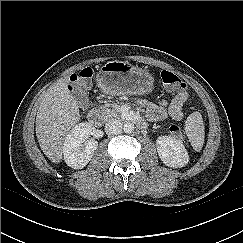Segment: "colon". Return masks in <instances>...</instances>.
<instances>
[{
  "mask_svg": "<svg viewBox=\"0 0 243 243\" xmlns=\"http://www.w3.org/2000/svg\"><path fill=\"white\" fill-rule=\"evenodd\" d=\"M92 76H93V70L91 67L82 68L80 71L72 74L70 79L71 80L70 89L75 90L81 93L82 95L83 88L88 86ZM160 78L162 83L165 86L177 90L178 93L184 91L186 87V84L176 74H174L171 71L168 70L162 71L160 74ZM169 131L171 135L177 139L184 138L185 133L183 129L177 124L171 125L169 127Z\"/></svg>",
  "mask_w": 243,
  "mask_h": 243,
  "instance_id": "obj_1",
  "label": "colon"
}]
</instances>
